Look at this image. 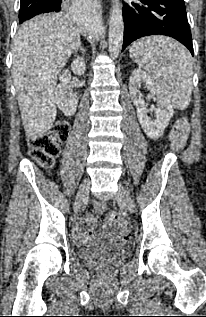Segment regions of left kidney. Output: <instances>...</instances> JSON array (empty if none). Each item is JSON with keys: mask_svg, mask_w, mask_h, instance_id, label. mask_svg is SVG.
<instances>
[{"mask_svg": "<svg viewBox=\"0 0 206 317\" xmlns=\"http://www.w3.org/2000/svg\"><path fill=\"white\" fill-rule=\"evenodd\" d=\"M141 84L150 91L149 97L157 101V107L152 105L155 119L148 116L147 104L140 92ZM129 91L132 102L137 109V117L145 134L151 139L160 138L168 126L174 110L167 99L160 92L153 79L143 70L135 69L129 79Z\"/></svg>", "mask_w": 206, "mask_h": 317, "instance_id": "obj_1", "label": "left kidney"}]
</instances>
